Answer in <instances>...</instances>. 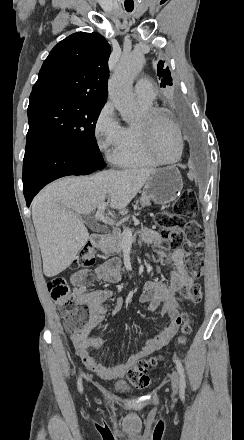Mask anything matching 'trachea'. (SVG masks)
<instances>
[{"mask_svg":"<svg viewBox=\"0 0 244 440\" xmlns=\"http://www.w3.org/2000/svg\"><path fill=\"white\" fill-rule=\"evenodd\" d=\"M126 10H127V12H132V9H128V8H126Z\"/></svg>","mask_w":244,"mask_h":440,"instance_id":"1","label":"trachea"}]
</instances>
